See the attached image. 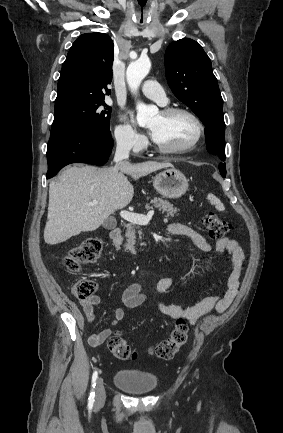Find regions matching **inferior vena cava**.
Listing matches in <instances>:
<instances>
[{
	"mask_svg": "<svg viewBox=\"0 0 283 433\" xmlns=\"http://www.w3.org/2000/svg\"><path fill=\"white\" fill-rule=\"evenodd\" d=\"M130 148L131 144H129V142H118L114 156L115 162H120V160H124V158H129Z\"/></svg>",
	"mask_w": 283,
	"mask_h": 433,
	"instance_id": "obj_1",
	"label": "inferior vena cava"
}]
</instances>
